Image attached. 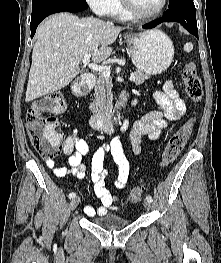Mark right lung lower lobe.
<instances>
[{"label":"right lung lower lobe","instance_id":"1","mask_svg":"<svg viewBox=\"0 0 221 263\" xmlns=\"http://www.w3.org/2000/svg\"><path fill=\"white\" fill-rule=\"evenodd\" d=\"M88 8L85 0H71L54 2L44 5L32 11L31 15V38L34 36L38 24L47 16L58 12H79Z\"/></svg>","mask_w":221,"mask_h":263}]
</instances>
